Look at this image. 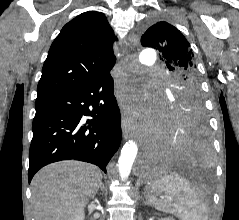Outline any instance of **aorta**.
<instances>
[{"label": "aorta", "instance_id": "762f6f07", "mask_svg": "<svg viewBox=\"0 0 239 220\" xmlns=\"http://www.w3.org/2000/svg\"><path fill=\"white\" fill-rule=\"evenodd\" d=\"M155 56H157V51H155V48H143V51H140L139 54L140 64L155 65ZM137 153V144L132 140H129L123 146L118 160V170L122 180H126L129 177Z\"/></svg>", "mask_w": 239, "mask_h": 220}]
</instances>
